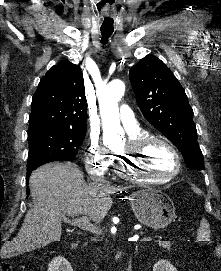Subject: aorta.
Returning a JSON list of instances; mask_svg holds the SVG:
<instances>
[{
  "label": "aorta",
  "instance_id": "1",
  "mask_svg": "<svg viewBox=\"0 0 221 271\" xmlns=\"http://www.w3.org/2000/svg\"><path fill=\"white\" fill-rule=\"evenodd\" d=\"M124 92V83L121 80H114L99 95L100 114L106 132H123L120 126L118 101L122 98Z\"/></svg>",
  "mask_w": 221,
  "mask_h": 271
}]
</instances>
